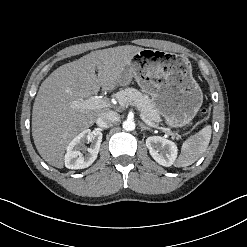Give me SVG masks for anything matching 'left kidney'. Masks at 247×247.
I'll return each mask as SVG.
<instances>
[{
	"label": "left kidney",
	"instance_id": "obj_1",
	"mask_svg": "<svg viewBox=\"0 0 247 247\" xmlns=\"http://www.w3.org/2000/svg\"><path fill=\"white\" fill-rule=\"evenodd\" d=\"M146 146L152 158L162 166L174 164L177 157L176 144L160 136H151L146 139Z\"/></svg>",
	"mask_w": 247,
	"mask_h": 247
}]
</instances>
